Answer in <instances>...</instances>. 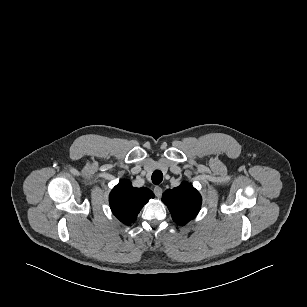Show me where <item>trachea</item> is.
Returning <instances> with one entry per match:
<instances>
[{"label": "trachea", "instance_id": "trachea-1", "mask_svg": "<svg viewBox=\"0 0 307 307\" xmlns=\"http://www.w3.org/2000/svg\"><path fill=\"white\" fill-rule=\"evenodd\" d=\"M163 180V174L161 171L156 170L152 174V182L156 185L160 184Z\"/></svg>", "mask_w": 307, "mask_h": 307}]
</instances>
